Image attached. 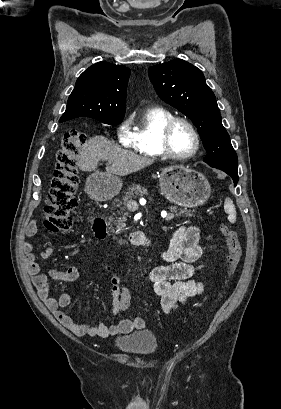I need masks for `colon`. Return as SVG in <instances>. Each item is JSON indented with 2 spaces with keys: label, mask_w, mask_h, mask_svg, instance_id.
<instances>
[{
  "label": "colon",
  "mask_w": 281,
  "mask_h": 409,
  "mask_svg": "<svg viewBox=\"0 0 281 409\" xmlns=\"http://www.w3.org/2000/svg\"><path fill=\"white\" fill-rule=\"evenodd\" d=\"M88 135L80 129L67 132L57 153L56 178L47 204L43 210L44 225L49 231L60 232L70 228L72 212L76 208L75 192L79 178L76 158L87 143ZM227 247V263L224 285L228 284L241 256V246L236 232L225 224L220 225Z\"/></svg>",
  "instance_id": "5ec220e1"
}]
</instances>
